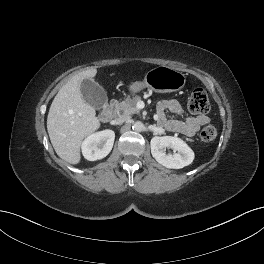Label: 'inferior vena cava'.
Instances as JSON below:
<instances>
[{
	"instance_id": "obj_1",
	"label": "inferior vena cava",
	"mask_w": 264,
	"mask_h": 264,
	"mask_svg": "<svg viewBox=\"0 0 264 264\" xmlns=\"http://www.w3.org/2000/svg\"><path fill=\"white\" fill-rule=\"evenodd\" d=\"M128 118L124 115L116 118L115 120L111 121V124L113 125H119V124H123Z\"/></svg>"
}]
</instances>
